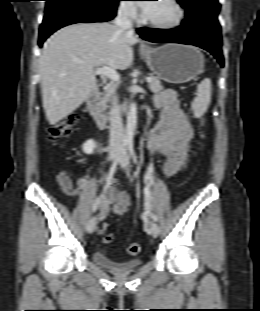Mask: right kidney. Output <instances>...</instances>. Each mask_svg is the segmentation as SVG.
I'll return each mask as SVG.
<instances>
[{"instance_id":"ca27d5eb","label":"right kidney","mask_w":260,"mask_h":311,"mask_svg":"<svg viewBox=\"0 0 260 311\" xmlns=\"http://www.w3.org/2000/svg\"><path fill=\"white\" fill-rule=\"evenodd\" d=\"M96 147V143L93 141V140H87L83 146H82V149L84 151V153L86 154H92L94 149Z\"/></svg>"}]
</instances>
